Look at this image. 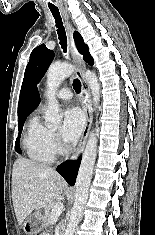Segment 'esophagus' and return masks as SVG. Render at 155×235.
Listing matches in <instances>:
<instances>
[{
  "mask_svg": "<svg viewBox=\"0 0 155 235\" xmlns=\"http://www.w3.org/2000/svg\"><path fill=\"white\" fill-rule=\"evenodd\" d=\"M63 16L65 18V23H66V27L68 31V41H69L70 51L72 54L73 61L76 65L75 75L81 82L82 93H83L82 107L85 113V125L82 131L80 142L73 156V159L76 160L78 159L80 153L82 152L85 146L86 140L88 138V134H89L91 124H92V113H91L90 106H89V101H90L89 87L87 86V84L84 82L82 78V68L84 67V62H83L81 55L77 51L75 41L73 38L74 28L71 25L69 21V17L65 11H63Z\"/></svg>",
  "mask_w": 155,
  "mask_h": 235,
  "instance_id": "esophagus-1",
  "label": "esophagus"
}]
</instances>
